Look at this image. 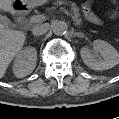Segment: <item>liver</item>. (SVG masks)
Segmentation results:
<instances>
[{
  "mask_svg": "<svg viewBox=\"0 0 119 119\" xmlns=\"http://www.w3.org/2000/svg\"><path fill=\"white\" fill-rule=\"evenodd\" d=\"M15 0H0V10L15 14L13 7ZM26 41V33L23 31L10 30L0 24V79L6 73V69L17 56Z\"/></svg>",
  "mask_w": 119,
  "mask_h": 119,
  "instance_id": "liver-1",
  "label": "liver"
}]
</instances>
